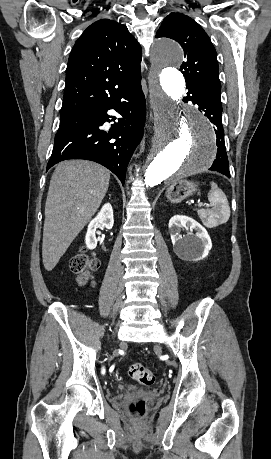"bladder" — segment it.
Instances as JSON below:
<instances>
[{
  "label": "bladder",
  "mask_w": 271,
  "mask_h": 459,
  "mask_svg": "<svg viewBox=\"0 0 271 459\" xmlns=\"http://www.w3.org/2000/svg\"><path fill=\"white\" fill-rule=\"evenodd\" d=\"M134 390V386L131 385V384H128V383H125V381H123L121 383V385L118 387V391L121 392V391H133Z\"/></svg>",
  "instance_id": "31cf9c89"
}]
</instances>
